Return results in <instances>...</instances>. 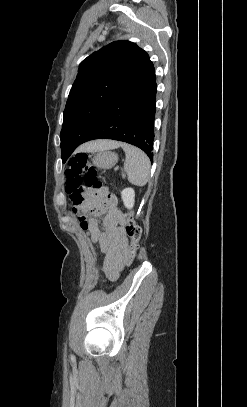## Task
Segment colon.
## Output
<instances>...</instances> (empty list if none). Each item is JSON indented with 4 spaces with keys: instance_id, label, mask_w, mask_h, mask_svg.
Masks as SVG:
<instances>
[{
    "instance_id": "colon-1",
    "label": "colon",
    "mask_w": 247,
    "mask_h": 407,
    "mask_svg": "<svg viewBox=\"0 0 247 407\" xmlns=\"http://www.w3.org/2000/svg\"><path fill=\"white\" fill-rule=\"evenodd\" d=\"M66 191L74 204H80L84 200L86 190L101 189L103 183L99 180L97 171L91 165L89 156L79 153L74 156L65 171ZM126 233L130 238L128 246V264H131L136 256L141 238V227L134 222L129 213L124 214Z\"/></svg>"
}]
</instances>
